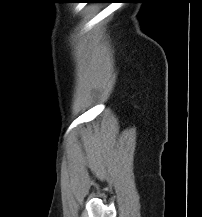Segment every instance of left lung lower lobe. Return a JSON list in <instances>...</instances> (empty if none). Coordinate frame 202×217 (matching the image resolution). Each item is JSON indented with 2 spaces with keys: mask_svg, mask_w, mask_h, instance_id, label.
<instances>
[{
  "mask_svg": "<svg viewBox=\"0 0 202 217\" xmlns=\"http://www.w3.org/2000/svg\"><path fill=\"white\" fill-rule=\"evenodd\" d=\"M93 2H95V3H106V1H93Z\"/></svg>",
  "mask_w": 202,
  "mask_h": 217,
  "instance_id": "left-lung-lower-lobe-1",
  "label": "left lung lower lobe"
}]
</instances>
